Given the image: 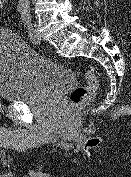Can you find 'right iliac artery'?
<instances>
[{
	"label": "right iliac artery",
	"mask_w": 131,
	"mask_h": 177,
	"mask_svg": "<svg viewBox=\"0 0 131 177\" xmlns=\"http://www.w3.org/2000/svg\"><path fill=\"white\" fill-rule=\"evenodd\" d=\"M27 7L25 6V5H19V7H18V9H19V11H22V10H24V9H26Z\"/></svg>",
	"instance_id": "right-iliac-artery-1"
}]
</instances>
